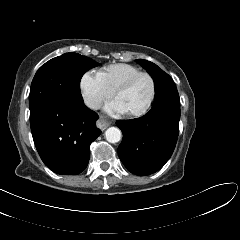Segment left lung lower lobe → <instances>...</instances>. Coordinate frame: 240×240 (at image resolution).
Wrapping results in <instances>:
<instances>
[{
    "label": "left lung lower lobe",
    "mask_w": 240,
    "mask_h": 240,
    "mask_svg": "<svg viewBox=\"0 0 240 240\" xmlns=\"http://www.w3.org/2000/svg\"><path fill=\"white\" fill-rule=\"evenodd\" d=\"M180 106L160 104L136 119L118 120L123 133L118 155L131 173L150 175L171 157L179 134Z\"/></svg>",
    "instance_id": "obj_1"
}]
</instances>
